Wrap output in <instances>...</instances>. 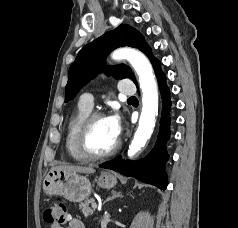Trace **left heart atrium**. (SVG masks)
<instances>
[{
	"label": "left heart atrium",
	"instance_id": "left-heart-atrium-1",
	"mask_svg": "<svg viewBox=\"0 0 238 228\" xmlns=\"http://www.w3.org/2000/svg\"><path fill=\"white\" fill-rule=\"evenodd\" d=\"M106 119L109 123L112 134L118 139L122 131L120 116L114 113L108 116Z\"/></svg>",
	"mask_w": 238,
	"mask_h": 228
}]
</instances>
